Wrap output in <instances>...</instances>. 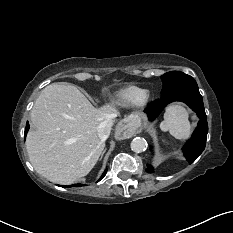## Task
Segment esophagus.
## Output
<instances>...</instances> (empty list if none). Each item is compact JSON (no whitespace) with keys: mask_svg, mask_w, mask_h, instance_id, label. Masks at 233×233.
<instances>
[{"mask_svg":"<svg viewBox=\"0 0 233 233\" xmlns=\"http://www.w3.org/2000/svg\"><path fill=\"white\" fill-rule=\"evenodd\" d=\"M140 126V121L136 116H128L125 122L118 123L114 130V137L116 139H124L132 134Z\"/></svg>","mask_w":233,"mask_h":233,"instance_id":"1","label":"esophagus"}]
</instances>
